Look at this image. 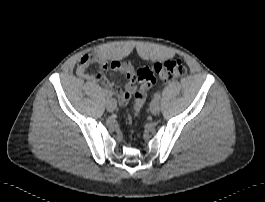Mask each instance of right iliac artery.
I'll use <instances>...</instances> for the list:
<instances>
[{"label":"right iliac artery","mask_w":265,"mask_h":202,"mask_svg":"<svg viewBox=\"0 0 265 202\" xmlns=\"http://www.w3.org/2000/svg\"><path fill=\"white\" fill-rule=\"evenodd\" d=\"M105 94L107 97H110V94L108 93V91H105Z\"/></svg>","instance_id":"right-iliac-artery-1"}]
</instances>
